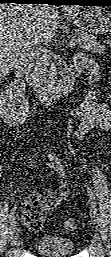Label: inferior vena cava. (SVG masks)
Wrapping results in <instances>:
<instances>
[{"label":"inferior vena cava","instance_id":"obj_1","mask_svg":"<svg viewBox=\"0 0 111 257\" xmlns=\"http://www.w3.org/2000/svg\"><path fill=\"white\" fill-rule=\"evenodd\" d=\"M32 57L35 59L34 64V74L43 81V78L46 76L47 73V57L46 51L41 46H35L32 49L31 53Z\"/></svg>","mask_w":111,"mask_h":257}]
</instances>
